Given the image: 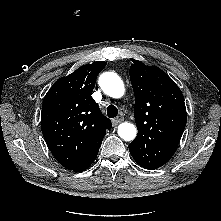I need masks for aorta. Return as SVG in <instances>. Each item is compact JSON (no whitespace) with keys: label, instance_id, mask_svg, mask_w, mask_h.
Returning <instances> with one entry per match:
<instances>
[{"label":"aorta","instance_id":"aorta-1","mask_svg":"<svg viewBox=\"0 0 221 221\" xmlns=\"http://www.w3.org/2000/svg\"><path fill=\"white\" fill-rule=\"evenodd\" d=\"M99 85L102 91L112 98L122 97L125 91L123 81L113 72L103 73L99 78ZM118 135L125 141H132L137 135V129L133 124L124 122L118 127Z\"/></svg>","mask_w":221,"mask_h":221}]
</instances>
